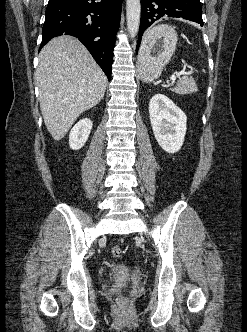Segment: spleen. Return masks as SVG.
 Wrapping results in <instances>:
<instances>
[{
	"mask_svg": "<svg viewBox=\"0 0 247 332\" xmlns=\"http://www.w3.org/2000/svg\"><path fill=\"white\" fill-rule=\"evenodd\" d=\"M176 93H179V94H185V93H188L190 91L184 89L182 86H177L173 89ZM193 91V89L191 90Z\"/></svg>",
	"mask_w": 247,
	"mask_h": 332,
	"instance_id": "spleen-1",
	"label": "spleen"
}]
</instances>
